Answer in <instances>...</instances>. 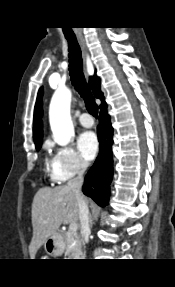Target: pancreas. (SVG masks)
Instances as JSON below:
<instances>
[{
  "label": "pancreas",
  "instance_id": "pancreas-1",
  "mask_svg": "<svg viewBox=\"0 0 175 287\" xmlns=\"http://www.w3.org/2000/svg\"><path fill=\"white\" fill-rule=\"evenodd\" d=\"M66 252L72 258H77L81 255V240L76 232H66Z\"/></svg>",
  "mask_w": 175,
  "mask_h": 287
}]
</instances>
